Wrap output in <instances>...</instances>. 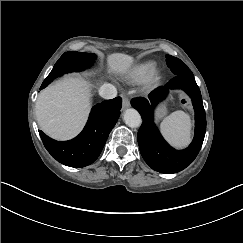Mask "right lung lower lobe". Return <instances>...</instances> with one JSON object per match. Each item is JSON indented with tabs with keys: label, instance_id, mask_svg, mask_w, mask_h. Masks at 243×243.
Here are the masks:
<instances>
[{
	"label": "right lung lower lobe",
	"instance_id": "right-lung-lower-lobe-1",
	"mask_svg": "<svg viewBox=\"0 0 243 243\" xmlns=\"http://www.w3.org/2000/svg\"><path fill=\"white\" fill-rule=\"evenodd\" d=\"M121 106L120 97L96 104L83 131L69 141L59 142L39 131L45 148L52 157L66 166L78 168L92 164L100 155L116 124Z\"/></svg>",
	"mask_w": 243,
	"mask_h": 243
}]
</instances>
